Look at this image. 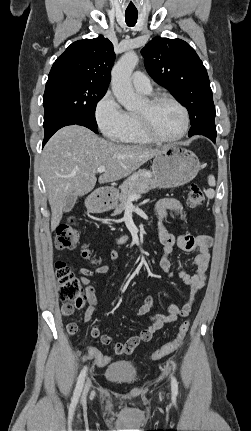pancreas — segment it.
<instances>
[{"instance_id": "obj_1", "label": "pancreas", "mask_w": 251, "mask_h": 431, "mask_svg": "<svg viewBox=\"0 0 251 431\" xmlns=\"http://www.w3.org/2000/svg\"><path fill=\"white\" fill-rule=\"evenodd\" d=\"M156 187V183L152 179V174L148 171H140L138 174H134L126 179L122 185H120V192H117L119 204L116 205L114 215L121 214L126 208V205L130 203L129 197L137 194L140 195Z\"/></svg>"}]
</instances>
